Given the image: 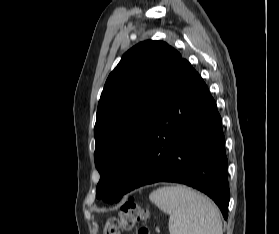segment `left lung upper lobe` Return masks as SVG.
Instances as JSON below:
<instances>
[{"mask_svg":"<svg viewBox=\"0 0 279 234\" xmlns=\"http://www.w3.org/2000/svg\"><path fill=\"white\" fill-rule=\"evenodd\" d=\"M182 57L163 41H143L110 73L98 103L95 165L97 198L118 202L136 165L162 95Z\"/></svg>","mask_w":279,"mask_h":234,"instance_id":"left-lung-upper-lobe-1","label":"left lung upper lobe"}]
</instances>
